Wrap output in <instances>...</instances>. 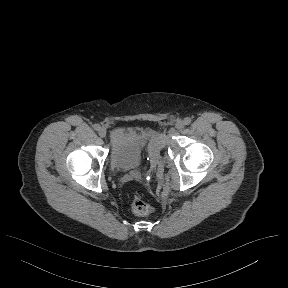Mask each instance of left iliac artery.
Returning <instances> with one entry per match:
<instances>
[{
    "mask_svg": "<svg viewBox=\"0 0 288 288\" xmlns=\"http://www.w3.org/2000/svg\"><path fill=\"white\" fill-rule=\"evenodd\" d=\"M183 122H184L185 125H189L191 123V118L190 117H186V118H184Z\"/></svg>",
    "mask_w": 288,
    "mask_h": 288,
    "instance_id": "44dca946",
    "label": "left iliac artery"
}]
</instances>
